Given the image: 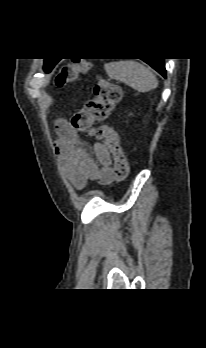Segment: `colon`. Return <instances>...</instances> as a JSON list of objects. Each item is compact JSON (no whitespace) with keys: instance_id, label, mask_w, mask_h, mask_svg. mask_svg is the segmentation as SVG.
<instances>
[{"instance_id":"colon-1","label":"colon","mask_w":206,"mask_h":348,"mask_svg":"<svg viewBox=\"0 0 206 348\" xmlns=\"http://www.w3.org/2000/svg\"><path fill=\"white\" fill-rule=\"evenodd\" d=\"M89 67L88 60H71L61 67L55 79L56 85L63 87L75 81ZM121 97L122 90L119 85L107 79H100L94 86L92 97L81 110L72 115L70 121L74 130L88 133L104 141L105 146L113 156L114 175L120 181L128 177L130 166L120 144L119 135L113 127L107 124L95 126V123L105 121Z\"/></svg>"}]
</instances>
